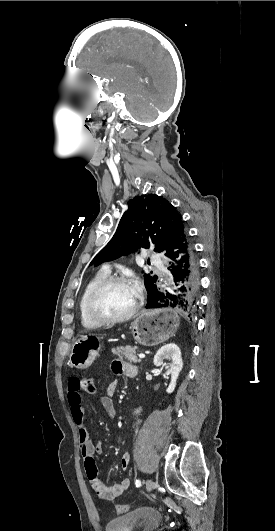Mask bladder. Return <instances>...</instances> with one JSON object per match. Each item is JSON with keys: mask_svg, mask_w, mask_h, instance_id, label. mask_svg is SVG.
<instances>
[{"mask_svg": "<svg viewBox=\"0 0 275 531\" xmlns=\"http://www.w3.org/2000/svg\"><path fill=\"white\" fill-rule=\"evenodd\" d=\"M162 515L150 507H140L109 520L106 531H156L162 524Z\"/></svg>", "mask_w": 275, "mask_h": 531, "instance_id": "1", "label": "bladder"}]
</instances>
